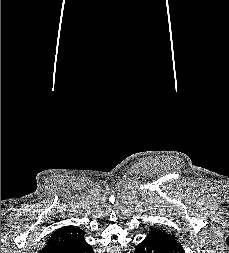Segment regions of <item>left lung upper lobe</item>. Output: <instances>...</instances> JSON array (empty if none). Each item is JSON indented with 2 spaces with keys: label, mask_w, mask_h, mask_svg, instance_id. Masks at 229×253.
I'll return each instance as SVG.
<instances>
[{
  "label": "left lung upper lobe",
  "mask_w": 229,
  "mask_h": 253,
  "mask_svg": "<svg viewBox=\"0 0 229 253\" xmlns=\"http://www.w3.org/2000/svg\"><path fill=\"white\" fill-rule=\"evenodd\" d=\"M147 238H154V239H170L176 241V238L171 235L166 233L165 231L159 230V229H154L149 231V234L147 235Z\"/></svg>",
  "instance_id": "obj_1"
}]
</instances>
